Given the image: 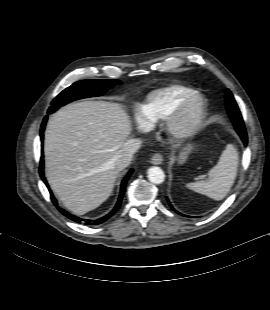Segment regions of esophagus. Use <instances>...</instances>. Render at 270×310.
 I'll return each instance as SVG.
<instances>
[{"instance_id": "esophagus-1", "label": "esophagus", "mask_w": 270, "mask_h": 310, "mask_svg": "<svg viewBox=\"0 0 270 310\" xmlns=\"http://www.w3.org/2000/svg\"><path fill=\"white\" fill-rule=\"evenodd\" d=\"M163 162V156L160 153H156L151 158V163L153 165H160Z\"/></svg>"}]
</instances>
